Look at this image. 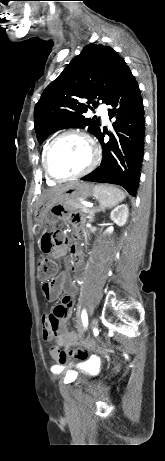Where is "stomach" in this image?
<instances>
[{
  "label": "stomach",
  "instance_id": "1",
  "mask_svg": "<svg viewBox=\"0 0 165 461\" xmlns=\"http://www.w3.org/2000/svg\"><path fill=\"white\" fill-rule=\"evenodd\" d=\"M95 187L91 183L75 181L71 182L53 193L47 194L42 200L37 213V224L42 226L46 223L47 214L54 204H61L67 199H78L95 196Z\"/></svg>",
  "mask_w": 165,
  "mask_h": 461
}]
</instances>
